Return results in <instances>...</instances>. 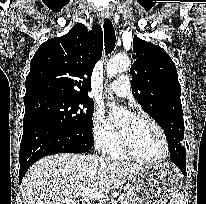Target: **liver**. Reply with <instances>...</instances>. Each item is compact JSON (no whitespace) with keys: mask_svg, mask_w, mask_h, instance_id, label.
Wrapping results in <instances>:
<instances>
[{"mask_svg":"<svg viewBox=\"0 0 206 204\" xmlns=\"http://www.w3.org/2000/svg\"><path fill=\"white\" fill-rule=\"evenodd\" d=\"M140 168L97 155L54 154L29 168L21 193L24 204H80L75 190L86 188L107 194L131 180Z\"/></svg>","mask_w":206,"mask_h":204,"instance_id":"1","label":"liver"}]
</instances>
